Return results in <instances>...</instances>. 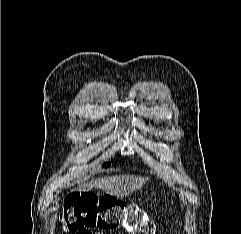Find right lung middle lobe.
<instances>
[{
    "label": "right lung middle lobe",
    "mask_w": 241,
    "mask_h": 234,
    "mask_svg": "<svg viewBox=\"0 0 241 234\" xmlns=\"http://www.w3.org/2000/svg\"><path fill=\"white\" fill-rule=\"evenodd\" d=\"M110 165V163H105L103 164V167H108Z\"/></svg>",
    "instance_id": "dd1d6c3e"
}]
</instances>
